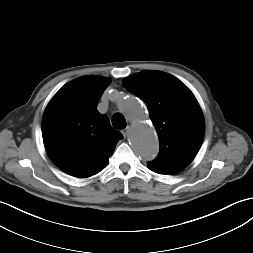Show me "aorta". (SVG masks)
I'll return each instance as SVG.
<instances>
[{
  "instance_id": "1",
  "label": "aorta",
  "mask_w": 253,
  "mask_h": 253,
  "mask_svg": "<svg viewBox=\"0 0 253 253\" xmlns=\"http://www.w3.org/2000/svg\"><path fill=\"white\" fill-rule=\"evenodd\" d=\"M117 105L132 120L130 141L134 152L144 161L153 160L158 154V139L153 126L146 121L145 110L133 97L120 98Z\"/></svg>"
}]
</instances>
